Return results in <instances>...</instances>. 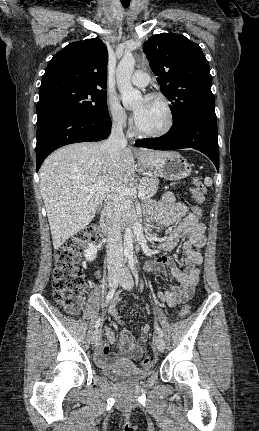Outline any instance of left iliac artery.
<instances>
[{
    "label": "left iliac artery",
    "instance_id": "left-iliac-artery-1",
    "mask_svg": "<svg viewBox=\"0 0 259 431\" xmlns=\"http://www.w3.org/2000/svg\"><path fill=\"white\" fill-rule=\"evenodd\" d=\"M128 258H129V267H130L133 275L135 276V278H137L136 269H135V266H134L133 255H129ZM156 330H157V332H158V334L160 336H163V331H162V329L158 325H156Z\"/></svg>",
    "mask_w": 259,
    "mask_h": 431
}]
</instances>
